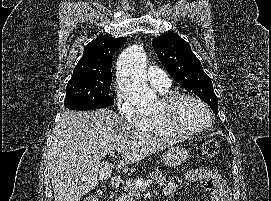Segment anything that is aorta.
<instances>
[{"label": "aorta", "instance_id": "1", "mask_svg": "<svg viewBox=\"0 0 271 201\" xmlns=\"http://www.w3.org/2000/svg\"><path fill=\"white\" fill-rule=\"evenodd\" d=\"M146 54L141 46L127 47L117 61L121 89L140 107L154 106L157 96L147 85Z\"/></svg>", "mask_w": 271, "mask_h": 201}]
</instances>
